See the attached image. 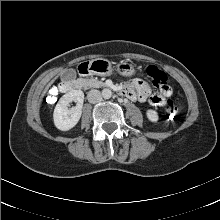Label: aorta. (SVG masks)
Listing matches in <instances>:
<instances>
[{
    "label": "aorta",
    "instance_id": "762f6f07",
    "mask_svg": "<svg viewBox=\"0 0 220 220\" xmlns=\"http://www.w3.org/2000/svg\"><path fill=\"white\" fill-rule=\"evenodd\" d=\"M102 96L104 99H109L112 96V91L108 88L102 90Z\"/></svg>",
    "mask_w": 220,
    "mask_h": 220
}]
</instances>
